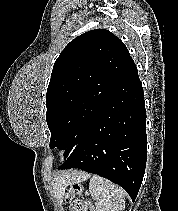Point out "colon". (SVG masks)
Returning <instances> with one entry per match:
<instances>
[{"mask_svg":"<svg viewBox=\"0 0 178 211\" xmlns=\"http://www.w3.org/2000/svg\"><path fill=\"white\" fill-rule=\"evenodd\" d=\"M83 190V186L80 183H74L70 189L65 193L64 200L69 206L70 210L75 209V202H76V196L80 194Z\"/></svg>","mask_w":178,"mask_h":211,"instance_id":"obj_1","label":"colon"}]
</instances>
